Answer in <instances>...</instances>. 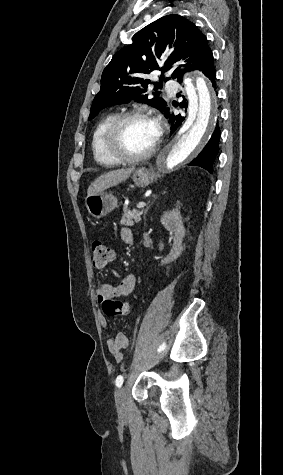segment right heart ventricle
I'll list each match as a JSON object with an SVG mask.
<instances>
[{
  "label": "right heart ventricle",
  "instance_id": "e07e8e85",
  "mask_svg": "<svg viewBox=\"0 0 283 475\" xmlns=\"http://www.w3.org/2000/svg\"><path fill=\"white\" fill-rule=\"evenodd\" d=\"M117 116V113L107 114L97 123L93 130L91 137V149L93 156L97 162H104V158L109 156L107 151H102V143L108 127Z\"/></svg>",
  "mask_w": 283,
  "mask_h": 475
}]
</instances>
